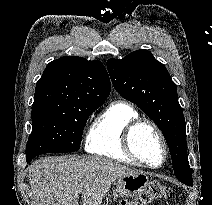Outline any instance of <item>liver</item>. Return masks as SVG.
I'll list each match as a JSON object with an SVG mask.
<instances>
[{
	"label": "liver",
	"mask_w": 212,
	"mask_h": 205,
	"mask_svg": "<svg viewBox=\"0 0 212 205\" xmlns=\"http://www.w3.org/2000/svg\"><path fill=\"white\" fill-rule=\"evenodd\" d=\"M134 173L111 160L91 156L47 157L29 168L35 205H101L113 182Z\"/></svg>",
	"instance_id": "liver-1"
}]
</instances>
